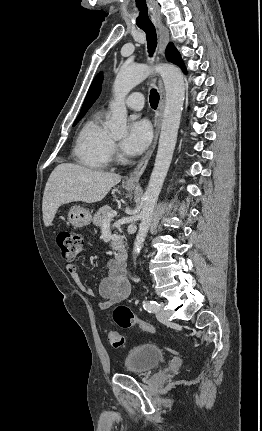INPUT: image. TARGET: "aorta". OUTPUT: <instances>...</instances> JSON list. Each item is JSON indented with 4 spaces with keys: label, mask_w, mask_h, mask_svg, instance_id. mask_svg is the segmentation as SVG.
Instances as JSON below:
<instances>
[{
    "label": "aorta",
    "mask_w": 262,
    "mask_h": 431,
    "mask_svg": "<svg viewBox=\"0 0 262 431\" xmlns=\"http://www.w3.org/2000/svg\"><path fill=\"white\" fill-rule=\"evenodd\" d=\"M153 72L159 73L163 79L166 100L155 164L144 193V204L140 213L141 222L134 242V259L143 248L155 206L172 161L185 99V83L181 71L169 64L155 67L145 64L123 66L114 81V100L110 105L111 118L107 122L108 128L115 137L124 136L127 131L125 98L136 85Z\"/></svg>",
    "instance_id": "762f6f07"
}]
</instances>
